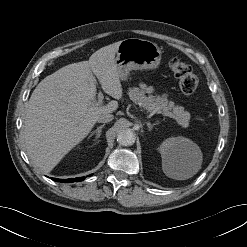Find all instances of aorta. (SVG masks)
Segmentation results:
<instances>
[{"label": "aorta", "mask_w": 247, "mask_h": 247, "mask_svg": "<svg viewBox=\"0 0 247 247\" xmlns=\"http://www.w3.org/2000/svg\"><path fill=\"white\" fill-rule=\"evenodd\" d=\"M135 141V134L131 129H123L117 135V142L122 146H130Z\"/></svg>", "instance_id": "aorta-1"}]
</instances>
